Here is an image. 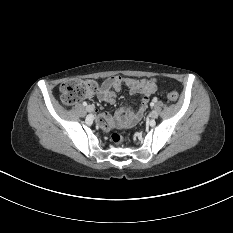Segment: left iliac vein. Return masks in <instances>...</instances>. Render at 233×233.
I'll return each instance as SVG.
<instances>
[{
  "mask_svg": "<svg viewBox=\"0 0 233 233\" xmlns=\"http://www.w3.org/2000/svg\"><path fill=\"white\" fill-rule=\"evenodd\" d=\"M149 117L151 119H156L158 117V112L156 110L151 111Z\"/></svg>",
  "mask_w": 233,
  "mask_h": 233,
  "instance_id": "4c4485c4",
  "label": "left iliac vein"
}]
</instances>
